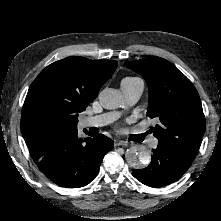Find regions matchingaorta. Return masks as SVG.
I'll return each mask as SVG.
<instances>
[{
	"label": "aorta",
	"instance_id": "obj_1",
	"mask_svg": "<svg viewBox=\"0 0 221 221\" xmlns=\"http://www.w3.org/2000/svg\"><path fill=\"white\" fill-rule=\"evenodd\" d=\"M99 101L105 109H116L123 104V96L120 91L113 88H105L99 94ZM127 163L133 168H141L151 161V154L143 146H132L125 153Z\"/></svg>",
	"mask_w": 221,
	"mask_h": 221
}]
</instances>
